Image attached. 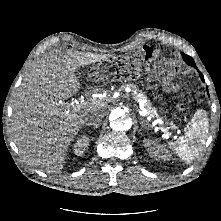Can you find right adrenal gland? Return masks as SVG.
Listing matches in <instances>:
<instances>
[{
    "instance_id": "1",
    "label": "right adrenal gland",
    "mask_w": 221,
    "mask_h": 221,
    "mask_svg": "<svg viewBox=\"0 0 221 221\" xmlns=\"http://www.w3.org/2000/svg\"><path fill=\"white\" fill-rule=\"evenodd\" d=\"M87 126H90L88 123H86ZM98 128V126H94V129Z\"/></svg>"
}]
</instances>
